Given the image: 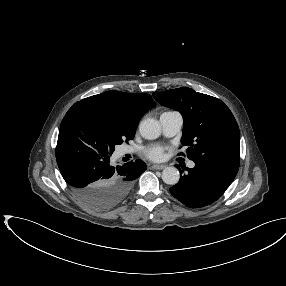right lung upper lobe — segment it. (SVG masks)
Wrapping results in <instances>:
<instances>
[{
  "label": "right lung upper lobe",
  "instance_id": "1",
  "mask_svg": "<svg viewBox=\"0 0 286 286\" xmlns=\"http://www.w3.org/2000/svg\"><path fill=\"white\" fill-rule=\"evenodd\" d=\"M77 104L109 112L117 118L120 127L130 133H135L142 116L156 105L149 94H130L120 91H107L85 98Z\"/></svg>",
  "mask_w": 286,
  "mask_h": 286
}]
</instances>
